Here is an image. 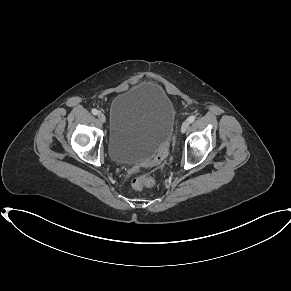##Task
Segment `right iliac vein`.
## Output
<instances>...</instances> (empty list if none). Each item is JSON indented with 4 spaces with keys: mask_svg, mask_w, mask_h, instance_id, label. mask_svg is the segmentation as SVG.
Here are the masks:
<instances>
[{
    "mask_svg": "<svg viewBox=\"0 0 291 291\" xmlns=\"http://www.w3.org/2000/svg\"><path fill=\"white\" fill-rule=\"evenodd\" d=\"M98 119L102 122L105 123L106 122V117L103 113H99L98 114Z\"/></svg>",
    "mask_w": 291,
    "mask_h": 291,
    "instance_id": "63e3f726",
    "label": "right iliac vein"
}]
</instances>
